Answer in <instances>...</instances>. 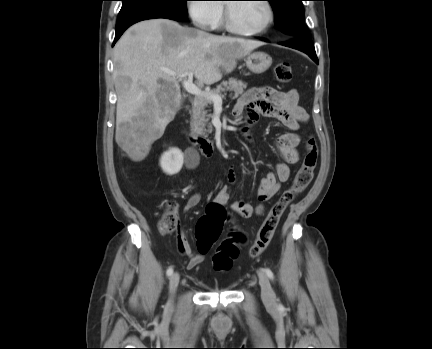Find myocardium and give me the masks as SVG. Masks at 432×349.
<instances>
[{"label":"myocardium","mask_w":432,"mask_h":349,"mask_svg":"<svg viewBox=\"0 0 432 349\" xmlns=\"http://www.w3.org/2000/svg\"><path fill=\"white\" fill-rule=\"evenodd\" d=\"M261 2H263L265 4V6L267 7V10H268V19L262 28H260L258 30H253V31H247V30H242V29L237 28L234 25L233 20H232L230 3H226L225 4V10H224V23H225L226 29L233 34L240 35V36H246V37H256V36L264 35L270 29L272 24L274 23L275 11H274L273 4L271 3L270 0H261Z\"/></svg>","instance_id":"myocardium-1"}]
</instances>
